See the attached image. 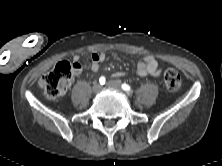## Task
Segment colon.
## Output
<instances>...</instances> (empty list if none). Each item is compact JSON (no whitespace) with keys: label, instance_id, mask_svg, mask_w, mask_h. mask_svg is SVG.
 I'll list each match as a JSON object with an SVG mask.
<instances>
[{"label":"colon","instance_id":"colon-1","mask_svg":"<svg viewBox=\"0 0 222 166\" xmlns=\"http://www.w3.org/2000/svg\"><path fill=\"white\" fill-rule=\"evenodd\" d=\"M80 64L62 61L39 79V86L50 98L63 96L70 86L75 70ZM164 85L169 91H177L181 87V76L175 68H167L164 72Z\"/></svg>","mask_w":222,"mask_h":166}]
</instances>
